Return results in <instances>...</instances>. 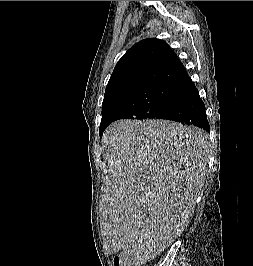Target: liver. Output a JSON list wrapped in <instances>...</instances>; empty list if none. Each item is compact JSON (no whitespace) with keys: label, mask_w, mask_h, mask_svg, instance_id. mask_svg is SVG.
Listing matches in <instances>:
<instances>
[{"label":"liver","mask_w":253,"mask_h":266,"mask_svg":"<svg viewBox=\"0 0 253 266\" xmlns=\"http://www.w3.org/2000/svg\"><path fill=\"white\" fill-rule=\"evenodd\" d=\"M102 143L109 179L101 229L108 250L147 261L189 223L205 182L208 135L167 120H119L107 127Z\"/></svg>","instance_id":"liver-1"}]
</instances>
